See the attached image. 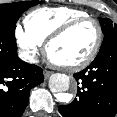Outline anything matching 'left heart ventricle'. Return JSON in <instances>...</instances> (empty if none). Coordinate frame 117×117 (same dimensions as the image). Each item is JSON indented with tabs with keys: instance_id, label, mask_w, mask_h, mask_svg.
<instances>
[{
	"instance_id": "b2bd125f",
	"label": "left heart ventricle",
	"mask_w": 117,
	"mask_h": 117,
	"mask_svg": "<svg viewBox=\"0 0 117 117\" xmlns=\"http://www.w3.org/2000/svg\"><path fill=\"white\" fill-rule=\"evenodd\" d=\"M96 38L95 25L92 22L82 23L51 45L50 58L59 64L77 63L90 54Z\"/></svg>"
}]
</instances>
